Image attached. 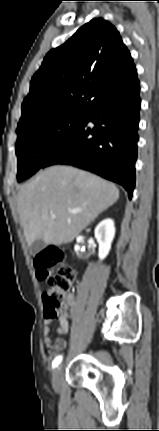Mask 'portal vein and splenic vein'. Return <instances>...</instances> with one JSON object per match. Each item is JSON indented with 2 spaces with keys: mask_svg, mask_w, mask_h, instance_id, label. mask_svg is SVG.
<instances>
[{
  "mask_svg": "<svg viewBox=\"0 0 159 431\" xmlns=\"http://www.w3.org/2000/svg\"><path fill=\"white\" fill-rule=\"evenodd\" d=\"M82 210L81 209H71L69 210L70 213L75 214V213H80ZM51 218L54 219L56 218V215L54 213L50 214Z\"/></svg>",
  "mask_w": 159,
  "mask_h": 431,
  "instance_id": "portal-vein-and-splenic-vein-1",
  "label": "portal vein and splenic vein"
}]
</instances>
